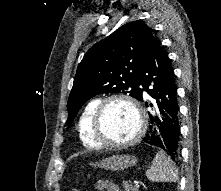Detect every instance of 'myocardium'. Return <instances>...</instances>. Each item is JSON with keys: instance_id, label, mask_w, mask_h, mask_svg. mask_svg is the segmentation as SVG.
Returning a JSON list of instances; mask_svg holds the SVG:
<instances>
[{"instance_id": "myocardium-1", "label": "myocardium", "mask_w": 221, "mask_h": 191, "mask_svg": "<svg viewBox=\"0 0 221 191\" xmlns=\"http://www.w3.org/2000/svg\"><path fill=\"white\" fill-rule=\"evenodd\" d=\"M114 101H123L131 105L137 113L139 119V126L132 138L125 142H110L105 138L103 129V117L108 104ZM146 129V115L140 105V103L126 94H113L102 101L97 106L93 120H92V136L100 147H108L113 149H123L136 144L143 136Z\"/></svg>"}]
</instances>
